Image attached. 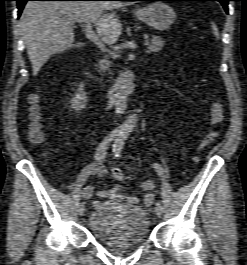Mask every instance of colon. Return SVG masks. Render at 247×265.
<instances>
[{
	"mask_svg": "<svg viewBox=\"0 0 247 265\" xmlns=\"http://www.w3.org/2000/svg\"><path fill=\"white\" fill-rule=\"evenodd\" d=\"M211 105V122L214 126H219L223 123V111L218 102L210 99ZM30 102V140L34 143H40L43 140L42 131V115L39 106V97L37 95H32L29 98ZM219 131H211L203 140L201 148H207L213 144L219 138ZM113 177L117 180L123 179V174L121 170L117 167L111 169Z\"/></svg>",
	"mask_w": 247,
	"mask_h": 265,
	"instance_id": "colon-1",
	"label": "colon"
}]
</instances>
